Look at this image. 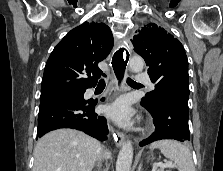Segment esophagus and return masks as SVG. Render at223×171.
Returning <instances> with one entry per match:
<instances>
[{
  "instance_id": "esophagus-1",
  "label": "esophagus",
  "mask_w": 223,
  "mask_h": 171,
  "mask_svg": "<svg viewBox=\"0 0 223 171\" xmlns=\"http://www.w3.org/2000/svg\"><path fill=\"white\" fill-rule=\"evenodd\" d=\"M111 62L113 72V81L117 91H123L125 88V77L128 72V61L130 59L131 49L127 41H121L120 48L114 51ZM114 140L117 146H121L125 140V134L116 130L113 132Z\"/></svg>"
}]
</instances>
